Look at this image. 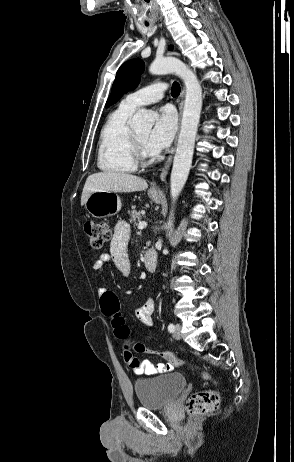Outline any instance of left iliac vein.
<instances>
[{
  "instance_id": "left-iliac-vein-1",
  "label": "left iliac vein",
  "mask_w": 294,
  "mask_h": 462,
  "mask_svg": "<svg viewBox=\"0 0 294 462\" xmlns=\"http://www.w3.org/2000/svg\"><path fill=\"white\" fill-rule=\"evenodd\" d=\"M173 337H174L176 340H180V339H181L182 334H181V325H180V324H176V325H175V329H174V332H173Z\"/></svg>"
}]
</instances>
